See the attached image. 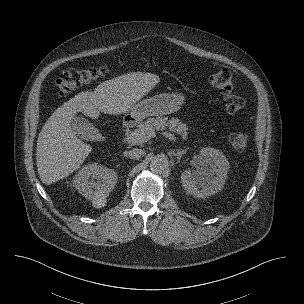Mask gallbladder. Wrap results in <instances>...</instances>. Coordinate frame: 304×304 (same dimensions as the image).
<instances>
[{
	"label": "gallbladder",
	"instance_id": "bac80fb5",
	"mask_svg": "<svg viewBox=\"0 0 304 304\" xmlns=\"http://www.w3.org/2000/svg\"><path fill=\"white\" fill-rule=\"evenodd\" d=\"M71 127L79 138L85 140H91L98 131L97 128L82 115H75L73 117Z\"/></svg>",
	"mask_w": 304,
	"mask_h": 304
}]
</instances>
